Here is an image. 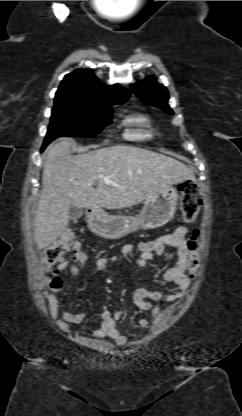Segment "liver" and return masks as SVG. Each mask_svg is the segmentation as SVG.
Segmentation results:
<instances>
[{
    "mask_svg": "<svg viewBox=\"0 0 242 416\" xmlns=\"http://www.w3.org/2000/svg\"><path fill=\"white\" fill-rule=\"evenodd\" d=\"M70 147L68 139L48 147L34 219L38 249L49 247L66 230L70 205L94 211L101 207L123 209L194 178L182 162L135 146L117 145L78 155H73Z\"/></svg>",
    "mask_w": 242,
    "mask_h": 416,
    "instance_id": "6515ba94",
    "label": "liver"
}]
</instances>
